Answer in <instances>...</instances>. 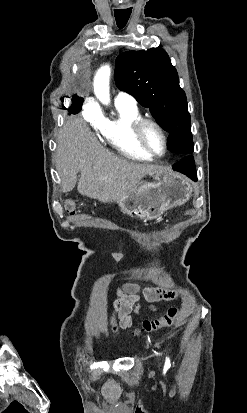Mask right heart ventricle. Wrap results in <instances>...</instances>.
<instances>
[{
    "mask_svg": "<svg viewBox=\"0 0 247 413\" xmlns=\"http://www.w3.org/2000/svg\"><path fill=\"white\" fill-rule=\"evenodd\" d=\"M122 114L118 120L108 123L103 130L107 141L123 156L142 162H150L153 158L142 152L134 142L133 130L140 120L135 112H130L123 105H119Z\"/></svg>",
    "mask_w": 247,
    "mask_h": 413,
    "instance_id": "e07e8e85",
    "label": "right heart ventricle"
}]
</instances>
